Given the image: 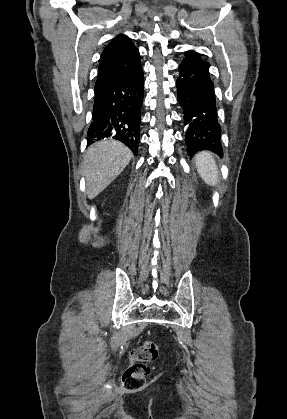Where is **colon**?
Listing matches in <instances>:
<instances>
[{"label":"colon","mask_w":287,"mask_h":419,"mask_svg":"<svg viewBox=\"0 0 287 419\" xmlns=\"http://www.w3.org/2000/svg\"><path fill=\"white\" fill-rule=\"evenodd\" d=\"M158 355V347L151 341H146L135 347L129 356V366L123 375V387L128 391L141 389L147 381L150 368L148 363L154 361Z\"/></svg>","instance_id":"colon-1"}]
</instances>
